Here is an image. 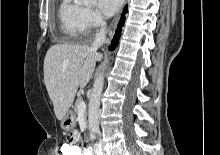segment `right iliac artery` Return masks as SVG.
I'll use <instances>...</instances> for the list:
<instances>
[{
    "mask_svg": "<svg viewBox=\"0 0 220 155\" xmlns=\"http://www.w3.org/2000/svg\"><path fill=\"white\" fill-rule=\"evenodd\" d=\"M97 155H101V153L97 152Z\"/></svg>",
    "mask_w": 220,
    "mask_h": 155,
    "instance_id": "obj_1",
    "label": "right iliac artery"
}]
</instances>
